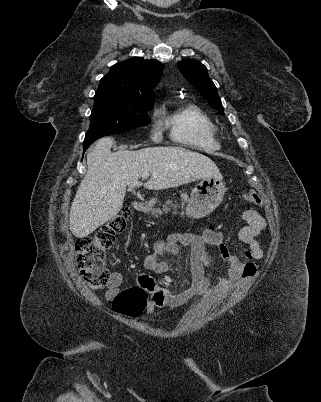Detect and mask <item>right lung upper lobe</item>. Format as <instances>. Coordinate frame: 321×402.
Masks as SVG:
<instances>
[{"instance_id": "cb5924a9", "label": "right lung upper lobe", "mask_w": 321, "mask_h": 402, "mask_svg": "<svg viewBox=\"0 0 321 402\" xmlns=\"http://www.w3.org/2000/svg\"><path fill=\"white\" fill-rule=\"evenodd\" d=\"M163 72L155 60L135 57L113 65L101 80L95 95H106L136 103L153 104L152 88Z\"/></svg>"}]
</instances>
